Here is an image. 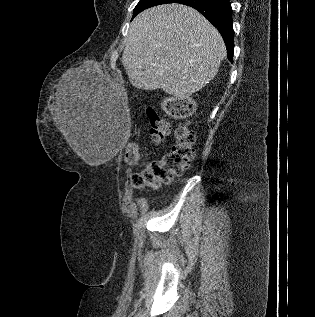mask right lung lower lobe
Masks as SVG:
<instances>
[{
  "label": "right lung lower lobe",
  "mask_w": 315,
  "mask_h": 317,
  "mask_svg": "<svg viewBox=\"0 0 315 317\" xmlns=\"http://www.w3.org/2000/svg\"><path fill=\"white\" fill-rule=\"evenodd\" d=\"M175 3L195 8L218 29L226 44L227 58L233 62L234 31L229 0H178Z\"/></svg>",
  "instance_id": "1"
}]
</instances>
